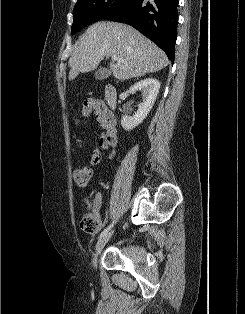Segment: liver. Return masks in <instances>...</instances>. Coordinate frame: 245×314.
<instances>
[{
    "instance_id": "liver-1",
    "label": "liver",
    "mask_w": 245,
    "mask_h": 314,
    "mask_svg": "<svg viewBox=\"0 0 245 314\" xmlns=\"http://www.w3.org/2000/svg\"><path fill=\"white\" fill-rule=\"evenodd\" d=\"M116 55L110 63L119 80L153 73L165 68L169 60L162 49L133 27L117 22H97L80 37L69 59V80L91 72L104 57Z\"/></svg>"
}]
</instances>
